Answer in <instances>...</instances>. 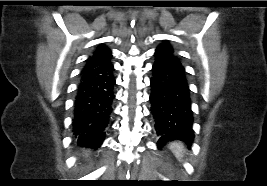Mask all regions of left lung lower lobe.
Here are the masks:
<instances>
[{
    "label": "left lung lower lobe",
    "mask_w": 267,
    "mask_h": 186,
    "mask_svg": "<svg viewBox=\"0 0 267 186\" xmlns=\"http://www.w3.org/2000/svg\"><path fill=\"white\" fill-rule=\"evenodd\" d=\"M153 76L150 80L151 112L159 136L158 147L171 140L188 146L194 139L190 89L182 65L154 54Z\"/></svg>",
    "instance_id": "obj_1"
}]
</instances>
